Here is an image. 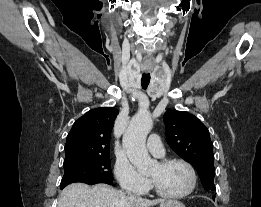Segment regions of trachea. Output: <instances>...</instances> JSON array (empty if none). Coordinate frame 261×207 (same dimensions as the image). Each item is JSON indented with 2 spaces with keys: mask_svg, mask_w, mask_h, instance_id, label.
Here are the masks:
<instances>
[{
  "mask_svg": "<svg viewBox=\"0 0 261 207\" xmlns=\"http://www.w3.org/2000/svg\"><path fill=\"white\" fill-rule=\"evenodd\" d=\"M150 82V74H143L141 78V86L143 89H146Z\"/></svg>",
  "mask_w": 261,
  "mask_h": 207,
  "instance_id": "obj_1",
  "label": "trachea"
}]
</instances>
